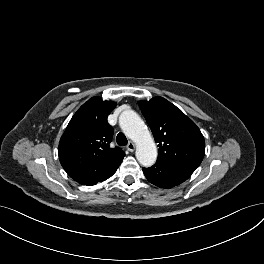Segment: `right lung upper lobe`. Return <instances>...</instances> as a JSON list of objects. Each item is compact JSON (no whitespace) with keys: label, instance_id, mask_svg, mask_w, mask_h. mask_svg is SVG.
<instances>
[{"label":"right lung upper lobe","instance_id":"right-lung-upper-lobe-1","mask_svg":"<svg viewBox=\"0 0 264 264\" xmlns=\"http://www.w3.org/2000/svg\"><path fill=\"white\" fill-rule=\"evenodd\" d=\"M115 103L93 97L70 120L59 143V159L67 174L89 185L121 164L125 153L110 148L113 128L107 117Z\"/></svg>","mask_w":264,"mask_h":264}]
</instances>
